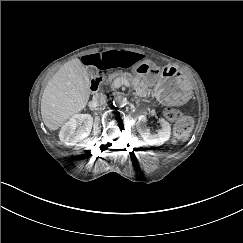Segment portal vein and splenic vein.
Here are the masks:
<instances>
[{
    "instance_id": "18ae733b",
    "label": "portal vein and splenic vein",
    "mask_w": 243,
    "mask_h": 243,
    "mask_svg": "<svg viewBox=\"0 0 243 243\" xmlns=\"http://www.w3.org/2000/svg\"><path fill=\"white\" fill-rule=\"evenodd\" d=\"M126 85L127 88L131 87V82L127 80V78L121 77V78H117L113 84H112V88L116 89V88H120L121 85Z\"/></svg>"
}]
</instances>
